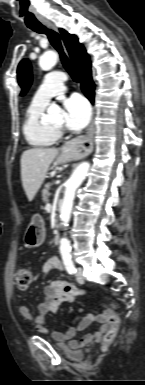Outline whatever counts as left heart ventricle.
Wrapping results in <instances>:
<instances>
[{"label":"left heart ventricle","mask_w":145,"mask_h":385,"mask_svg":"<svg viewBox=\"0 0 145 385\" xmlns=\"http://www.w3.org/2000/svg\"><path fill=\"white\" fill-rule=\"evenodd\" d=\"M62 124H63V119H60L57 123L54 124V126L59 127V126H62Z\"/></svg>","instance_id":"obj_1"}]
</instances>
